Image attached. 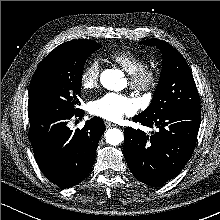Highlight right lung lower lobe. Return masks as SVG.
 I'll use <instances>...</instances> for the list:
<instances>
[{"label": "right lung lower lobe", "instance_id": "right-lung-lower-lobe-1", "mask_svg": "<svg viewBox=\"0 0 220 220\" xmlns=\"http://www.w3.org/2000/svg\"><path fill=\"white\" fill-rule=\"evenodd\" d=\"M83 115V110L73 114H29V138L36 162L48 180L63 188L77 185L88 176L97 144L106 129L103 120L94 117L81 130H70L68 121Z\"/></svg>", "mask_w": 220, "mask_h": 220}]
</instances>
